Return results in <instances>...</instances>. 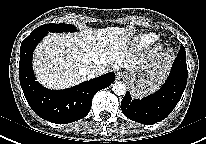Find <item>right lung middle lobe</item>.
<instances>
[{
    "mask_svg": "<svg viewBox=\"0 0 206 144\" xmlns=\"http://www.w3.org/2000/svg\"><path fill=\"white\" fill-rule=\"evenodd\" d=\"M76 31L73 25L71 24H54V23H49V24H44L39 27H37L34 32H74Z\"/></svg>",
    "mask_w": 206,
    "mask_h": 144,
    "instance_id": "dd1d6c3e",
    "label": "right lung middle lobe"
}]
</instances>
